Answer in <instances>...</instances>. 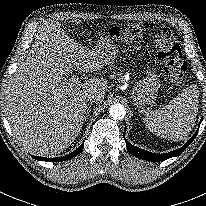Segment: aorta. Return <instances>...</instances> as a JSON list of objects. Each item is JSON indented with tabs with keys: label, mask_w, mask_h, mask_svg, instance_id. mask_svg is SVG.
<instances>
[{
	"label": "aorta",
	"mask_w": 206,
	"mask_h": 206,
	"mask_svg": "<svg viewBox=\"0 0 206 206\" xmlns=\"http://www.w3.org/2000/svg\"><path fill=\"white\" fill-rule=\"evenodd\" d=\"M109 114L114 120H121L126 115V109L124 105L116 103L111 105Z\"/></svg>",
	"instance_id": "obj_1"
}]
</instances>
